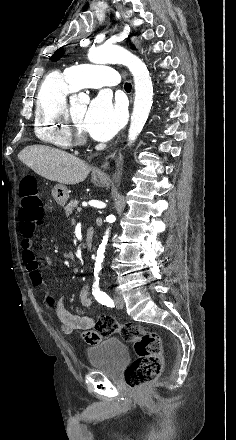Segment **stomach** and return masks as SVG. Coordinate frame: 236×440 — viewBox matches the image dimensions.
Instances as JSON below:
<instances>
[{"instance_id": "obj_1", "label": "stomach", "mask_w": 236, "mask_h": 440, "mask_svg": "<svg viewBox=\"0 0 236 440\" xmlns=\"http://www.w3.org/2000/svg\"><path fill=\"white\" fill-rule=\"evenodd\" d=\"M105 180L106 176L103 174H92L91 181L97 186H102L105 183ZM52 196L57 204L64 206L69 199L68 188L62 184L55 185L52 190Z\"/></svg>"}]
</instances>
